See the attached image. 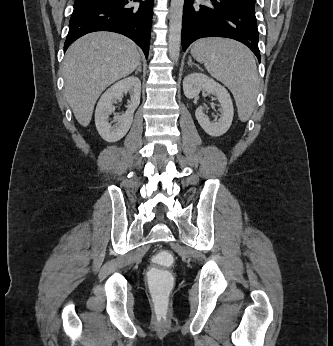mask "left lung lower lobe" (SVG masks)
<instances>
[{"mask_svg": "<svg viewBox=\"0 0 333 346\" xmlns=\"http://www.w3.org/2000/svg\"><path fill=\"white\" fill-rule=\"evenodd\" d=\"M203 37H225L248 46L260 62L255 8L238 0H185L182 18V49Z\"/></svg>", "mask_w": 333, "mask_h": 346, "instance_id": "obj_1", "label": "left lung lower lobe"}]
</instances>
